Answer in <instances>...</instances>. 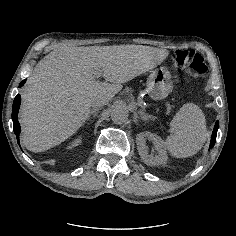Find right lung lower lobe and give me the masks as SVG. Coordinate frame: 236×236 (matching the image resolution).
I'll return each instance as SVG.
<instances>
[{
	"label": "right lung lower lobe",
	"instance_id": "right-lung-lower-lobe-1",
	"mask_svg": "<svg viewBox=\"0 0 236 236\" xmlns=\"http://www.w3.org/2000/svg\"><path fill=\"white\" fill-rule=\"evenodd\" d=\"M25 81L26 80H23L20 83L19 87L23 86ZM20 103H21V97H20V95H17L14 99L13 106H12V121H13L14 133L17 137L18 144H19V138L18 137H19V133L21 131L20 124H19L18 119H17Z\"/></svg>",
	"mask_w": 236,
	"mask_h": 236
}]
</instances>
